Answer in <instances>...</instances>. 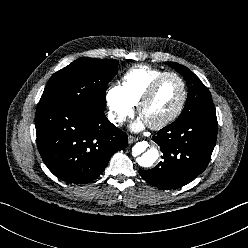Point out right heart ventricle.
<instances>
[{
  "mask_svg": "<svg viewBox=\"0 0 248 248\" xmlns=\"http://www.w3.org/2000/svg\"><path fill=\"white\" fill-rule=\"evenodd\" d=\"M164 72L147 65L135 66L123 75L121 88L126 97L137 105L151 82Z\"/></svg>",
  "mask_w": 248,
  "mask_h": 248,
  "instance_id": "obj_1",
  "label": "right heart ventricle"
}]
</instances>
